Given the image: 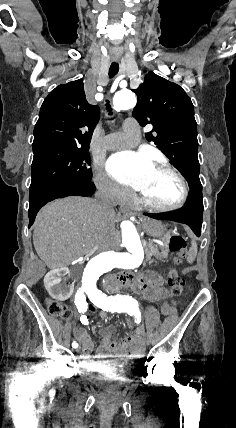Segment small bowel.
<instances>
[{"instance_id":"1","label":"small bowel","mask_w":236,"mask_h":428,"mask_svg":"<svg viewBox=\"0 0 236 428\" xmlns=\"http://www.w3.org/2000/svg\"><path fill=\"white\" fill-rule=\"evenodd\" d=\"M133 290L143 294L148 300L160 301L168 296V292L162 287V278L154 272H147L140 277ZM108 313L100 311V317L106 319ZM102 342L92 355L93 341L89 334L81 327L75 329L76 338L82 343V363L89 367H94L101 360L110 358L117 359H138L144 349L143 331L128 336L121 340H114L115 328L112 325L105 326L100 331Z\"/></svg>"}]
</instances>
